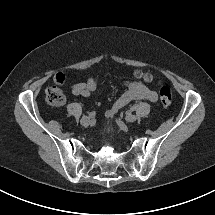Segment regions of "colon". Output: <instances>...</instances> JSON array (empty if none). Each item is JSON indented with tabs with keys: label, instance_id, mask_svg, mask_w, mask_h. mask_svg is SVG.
<instances>
[{
	"label": "colon",
	"instance_id": "colon-1",
	"mask_svg": "<svg viewBox=\"0 0 215 215\" xmlns=\"http://www.w3.org/2000/svg\"><path fill=\"white\" fill-rule=\"evenodd\" d=\"M135 76L145 81H151L152 76L142 71H136ZM65 82V76L62 73H58L55 76V85L49 87L45 92V100L51 106H60L65 102V95L61 89V86ZM160 101L163 105L168 106L172 102V92L170 88L162 86L159 90Z\"/></svg>",
	"mask_w": 215,
	"mask_h": 215
}]
</instances>
